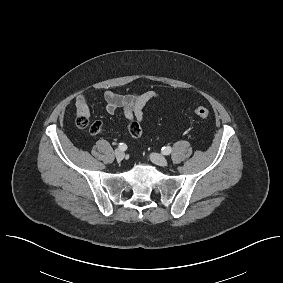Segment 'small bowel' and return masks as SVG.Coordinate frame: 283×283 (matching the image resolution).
I'll list each match as a JSON object with an SVG mask.
<instances>
[{
  "instance_id": "small-bowel-1",
  "label": "small bowel",
  "mask_w": 283,
  "mask_h": 283,
  "mask_svg": "<svg viewBox=\"0 0 283 283\" xmlns=\"http://www.w3.org/2000/svg\"><path fill=\"white\" fill-rule=\"evenodd\" d=\"M158 96L155 91L143 93H123L117 90L106 89L103 91L102 98L105 102L106 111L114 114L121 110L124 117L128 120L127 130L132 137H141L143 109L145 105ZM95 94H80L76 97V113L79 116L87 117L90 114L89 102L95 98Z\"/></svg>"
}]
</instances>
